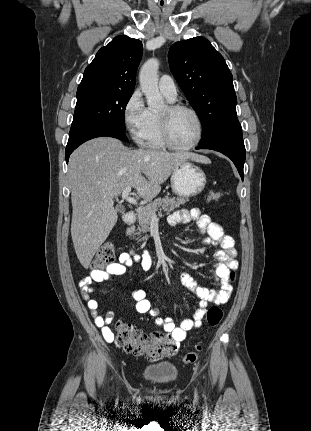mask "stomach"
<instances>
[{
  "instance_id": "obj_1",
  "label": "stomach",
  "mask_w": 311,
  "mask_h": 431,
  "mask_svg": "<svg viewBox=\"0 0 311 431\" xmlns=\"http://www.w3.org/2000/svg\"><path fill=\"white\" fill-rule=\"evenodd\" d=\"M170 184L172 192L176 196L193 198V196H198L203 192L207 184V178L205 172L199 166L186 162V164L178 166L171 174Z\"/></svg>"
}]
</instances>
